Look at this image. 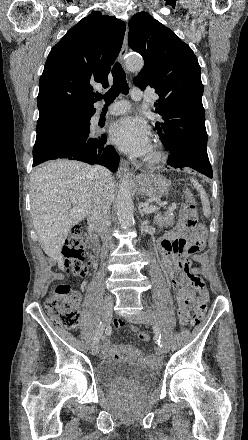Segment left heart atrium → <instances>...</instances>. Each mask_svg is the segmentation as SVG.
I'll return each instance as SVG.
<instances>
[{"label":"left heart atrium","mask_w":248,"mask_h":440,"mask_svg":"<svg viewBox=\"0 0 248 440\" xmlns=\"http://www.w3.org/2000/svg\"><path fill=\"white\" fill-rule=\"evenodd\" d=\"M111 140L124 153L143 157L151 151L150 133L147 126L137 118L126 116L111 128Z\"/></svg>","instance_id":"39dd6f15"}]
</instances>
